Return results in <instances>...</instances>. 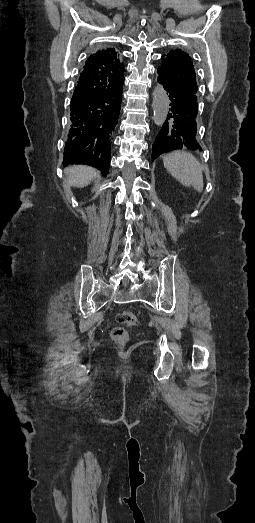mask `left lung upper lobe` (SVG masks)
Returning a JSON list of instances; mask_svg holds the SVG:
<instances>
[{"instance_id": "left-lung-upper-lobe-1", "label": "left lung upper lobe", "mask_w": 255, "mask_h": 523, "mask_svg": "<svg viewBox=\"0 0 255 523\" xmlns=\"http://www.w3.org/2000/svg\"><path fill=\"white\" fill-rule=\"evenodd\" d=\"M161 58L163 60L162 65L157 69L159 76L165 77L169 85L177 86V89H180L181 92L188 93V96L192 99V103L198 107L197 96L195 95L198 88L191 57L186 52L176 49L169 51L168 54L163 55ZM197 145H199L198 141ZM197 149L200 150L201 146ZM160 154L162 153H158V156Z\"/></svg>"}]
</instances>
